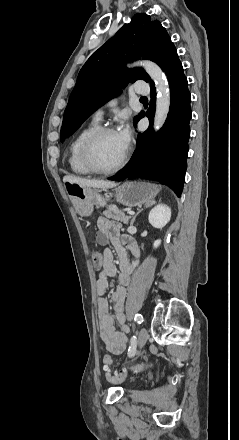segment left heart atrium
I'll use <instances>...</instances> for the list:
<instances>
[{"label":"left heart atrium","instance_id":"obj_1","mask_svg":"<svg viewBox=\"0 0 239 440\" xmlns=\"http://www.w3.org/2000/svg\"><path fill=\"white\" fill-rule=\"evenodd\" d=\"M117 134L119 135L121 141L123 144L128 147L131 141V130L128 124H122L119 130L117 131Z\"/></svg>","mask_w":239,"mask_h":440}]
</instances>
